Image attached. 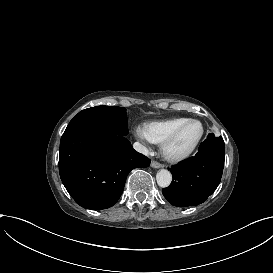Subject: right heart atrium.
<instances>
[{
  "mask_svg": "<svg viewBox=\"0 0 273 273\" xmlns=\"http://www.w3.org/2000/svg\"><path fill=\"white\" fill-rule=\"evenodd\" d=\"M134 135L137 139H139L140 141H142L144 143H146L148 141V139L146 138V135H145V131L141 127H136L134 129ZM145 148H147L146 145H145Z\"/></svg>",
  "mask_w": 273,
  "mask_h": 273,
  "instance_id": "1",
  "label": "right heart atrium"
}]
</instances>
